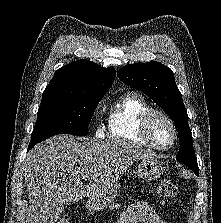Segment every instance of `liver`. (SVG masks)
I'll return each instance as SVG.
<instances>
[{
    "mask_svg": "<svg viewBox=\"0 0 221 223\" xmlns=\"http://www.w3.org/2000/svg\"><path fill=\"white\" fill-rule=\"evenodd\" d=\"M155 154L123 140L56 135L34 146L24 161L29 206L22 223H56L65 205L115 185L132 165ZM88 183L82 186V181Z\"/></svg>",
    "mask_w": 221,
    "mask_h": 223,
    "instance_id": "liver-1",
    "label": "liver"
}]
</instances>
